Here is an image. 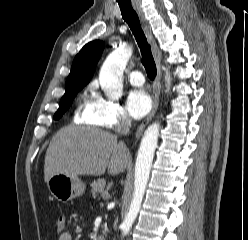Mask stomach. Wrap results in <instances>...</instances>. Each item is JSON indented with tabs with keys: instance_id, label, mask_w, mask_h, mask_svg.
Segmentation results:
<instances>
[{
	"instance_id": "stomach-1",
	"label": "stomach",
	"mask_w": 248,
	"mask_h": 240,
	"mask_svg": "<svg viewBox=\"0 0 248 240\" xmlns=\"http://www.w3.org/2000/svg\"><path fill=\"white\" fill-rule=\"evenodd\" d=\"M47 186L50 193L60 202L66 203L85 192V184L78 178L59 173L53 175Z\"/></svg>"
}]
</instances>
